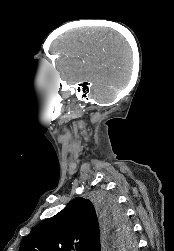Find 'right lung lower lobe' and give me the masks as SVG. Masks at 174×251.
Segmentation results:
<instances>
[{
    "mask_svg": "<svg viewBox=\"0 0 174 251\" xmlns=\"http://www.w3.org/2000/svg\"><path fill=\"white\" fill-rule=\"evenodd\" d=\"M103 229L105 230V233H104V238H103V241H102V249H104L106 246V242L108 241V237L110 236V231L106 228L105 225H103Z\"/></svg>",
    "mask_w": 174,
    "mask_h": 251,
    "instance_id": "obj_1",
    "label": "right lung lower lobe"
}]
</instances>
